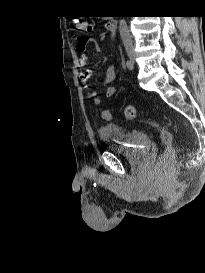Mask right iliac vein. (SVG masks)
<instances>
[{
  "label": "right iliac vein",
  "instance_id": "63e3f726",
  "mask_svg": "<svg viewBox=\"0 0 205 273\" xmlns=\"http://www.w3.org/2000/svg\"><path fill=\"white\" fill-rule=\"evenodd\" d=\"M127 55L131 61H134V52L132 50H127Z\"/></svg>",
  "mask_w": 205,
  "mask_h": 273
}]
</instances>
